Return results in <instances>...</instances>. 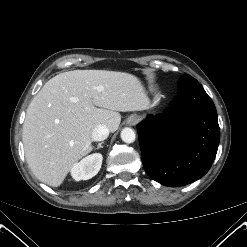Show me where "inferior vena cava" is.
I'll return each mask as SVG.
<instances>
[{"label": "inferior vena cava", "mask_w": 247, "mask_h": 247, "mask_svg": "<svg viewBox=\"0 0 247 247\" xmlns=\"http://www.w3.org/2000/svg\"><path fill=\"white\" fill-rule=\"evenodd\" d=\"M109 136V128L104 124L97 125L92 132L94 141H103Z\"/></svg>", "instance_id": "602c4592"}]
</instances>
